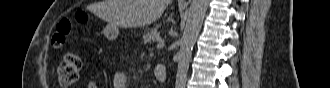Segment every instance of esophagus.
Masks as SVG:
<instances>
[{
  "label": "esophagus",
  "mask_w": 330,
  "mask_h": 88,
  "mask_svg": "<svg viewBox=\"0 0 330 88\" xmlns=\"http://www.w3.org/2000/svg\"><path fill=\"white\" fill-rule=\"evenodd\" d=\"M190 2H191V0H180V1H179V4H180V5L187 6Z\"/></svg>",
  "instance_id": "esophagus-1"
}]
</instances>
